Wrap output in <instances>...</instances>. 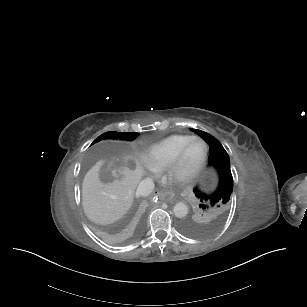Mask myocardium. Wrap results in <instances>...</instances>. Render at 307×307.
<instances>
[{
  "label": "myocardium",
  "mask_w": 307,
  "mask_h": 307,
  "mask_svg": "<svg viewBox=\"0 0 307 307\" xmlns=\"http://www.w3.org/2000/svg\"><path fill=\"white\" fill-rule=\"evenodd\" d=\"M194 141H199L204 145L205 149L201 161L196 166L186 171L181 177L174 179L173 178L174 173L181 167V165L184 162L187 148ZM208 156H209L208 143L200 137L193 136L185 142V144L179 150L178 154L163 167L162 175L166 180H173L182 185L190 184L205 168L208 161Z\"/></svg>",
  "instance_id": "f54148a6"
}]
</instances>
